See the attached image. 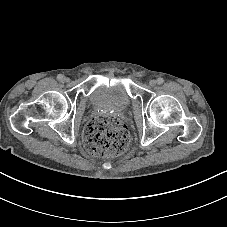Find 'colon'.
Here are the masks:
<instances>
[{
  "instance_id": "5ec220e1",
  "label": "colon",
  "mask_w": 227,
  "mask_h": 227,
  "mask_svg": "<svg viewBox=\"0 0 227 227\" xmlns=\"http://www.w3.org/2000/svg\"><path fill=\"white\" fill-rule=\"evenodd\" d=\"M84 139L90 153L102 157H113L125 152L129 134L126 126L120 120L100 115L89 121Z\"/></svg>"
}]
</instances>
